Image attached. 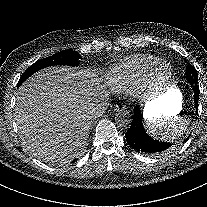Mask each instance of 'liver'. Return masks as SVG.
Wrapping results in <instances>:
<instances>
[{"instance_id":"1","label":"liver","mask_w":207,"mask_h":207,"mask_svg":"<svg viewBox=\"0 0 207 207\" xmlns=\"http://www.w3.org/2000/svg\"><path fill=\"white\" fill-rule=\"evenodd\" d=\"M91 77L76 67L52 66L19 87L15 121L19 137L34 156L68 155L82 147L96 111Z\"/></svg>"}]
</instances>
